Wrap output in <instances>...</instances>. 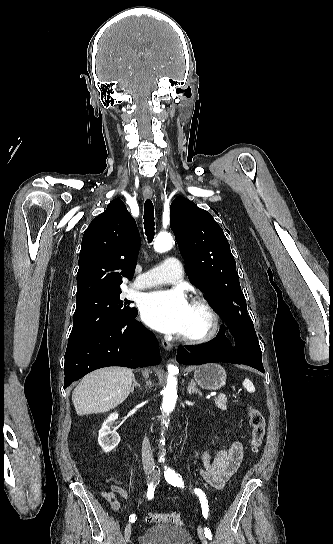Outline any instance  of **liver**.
Listing matches in <instances>:
<instances>
[{
  "label": "liver",
  "instance_id": "1",
  "mask_svg": "<svg viewBox=\"0 0 333 544\" xmlns=\"http://www.w3.org/2000/svg\"><path fill=\"white\" fill-rule=\"evenodd\" d=\"M133 372L123 367H107L86 375L74 389L72 401L79 416L104 413L128 397Z\"/></svg>",
  "mask_w": 333,
  "mask_h": 544
}]
</instances>
